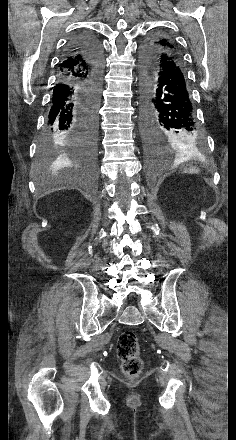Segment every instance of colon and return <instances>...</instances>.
<instances>
[{
  "label": "colon",
  "mask_w": 236,
  "mask_h": 440,
  "mask_svg": "<svg viewBox=\"0 0 236 440\" xmlns=\"http://www.w3.org/2000/svg\"><path fill=\"white\" fill-rule=\"evenodd\" d=\"M118 357L122 364L123 372L129 377L140 374L143 362L139 355V345L132 331L122 333L117 344Z\"/></svg>",
  "instance_id": "1"
}]
</instances>
